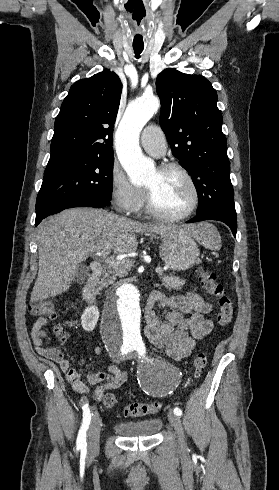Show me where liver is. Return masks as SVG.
<instances>
[{"label":"liver","instance_id":"6515ba94","mask_svg":"<svg viewBox=\"0 0 279 490\" xmlns=\"http://www.w3.org/2000/svg\"><path fill=\"white\" fill-rule=\"evenodd\" d=\"M206 222L191 226L140 224L128 218L94 208H71L57 216H49L36 230L38 240V276L31 292L32 302L47 300L67 292L78 266L98 252L133 254L138 242L135 234H187L199 238L205 232Z\"/></svg>","mask_w":279,"mask_h":490}]
</instances>
